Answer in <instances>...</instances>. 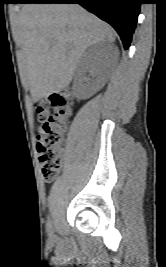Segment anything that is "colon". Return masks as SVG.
Here are the masks:
<instances>
[{
  "mask_svg": "<svg viewBox=\"0 0 166 267\" xmlns=\"http://www.w3.org/2000/svg\"><path fill=\"white\" fill-rule=\"evenodd\" d=\"M73 108L74 98L70 91L54 93L36 106L38 151L46 181L53 180L62 166L64 153L61 145Z\"/></svg>",
  "mask_w": 166,
  "mask_h": 267,
  "instance_id": "1",
  "label": "colon"
}]
</instances>
